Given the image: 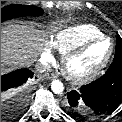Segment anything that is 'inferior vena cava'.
<instances>
[{"instance_id": "obj_1", "label": "inferior vena cava", "mask_w": 122, "mask_h": 122, "mask_svg": "<svg viewBox=\"0 0 122 122\" xmlns=\"http://www.w3.org/2000/svg\"><path fill=\"white\" fill-rule=\"evenodd\" d=\"M36 71H38L39 73H45V72H49L51 70V66L49 64H42V63H37L35 66Z\"/></svg>"}]
</instances>
